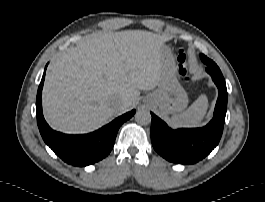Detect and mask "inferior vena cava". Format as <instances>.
<instances>
[{
	"instance_id": "602c4592",
	"label": "inferior vena cava",
	"mask_w": 265,
	"mask_h": 202,
	"mask_svg": "<svg viewBox=\"0 0 265 202\" xmlns=\"http://www.w3.org/2000/svg\"><path fill=\"white\" fill-rule=\"evenodd\" d=\"M120 103V98H116L115 101H114V104H119Z\"/></svg>"
}]
</instances>
